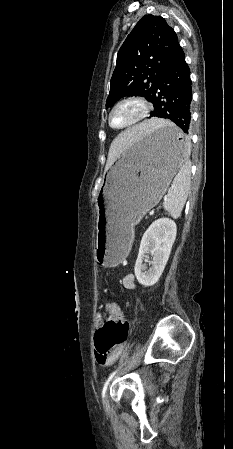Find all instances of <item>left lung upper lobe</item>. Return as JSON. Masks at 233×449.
I'll list each match as a JSON object with an SVG mask.
<instances>
[{
	"mask_svg": "<svg viewBox=\"0 0 233 449\" xmlns=\"http://www.w3.org/2000/svg\"><path fill=\"white\" fill-rule=\"evenodd\" d=\"M181 52L177 35L164 18L142 17L118 52L106 109L128 95L152 101L162 74Z\"/></svg>",
	"mask_w": 233,
	"mask_h": 449,
	"instance_id": "5c2ea615",
	"label": "left lung upper lobe"
}]
</instances>
